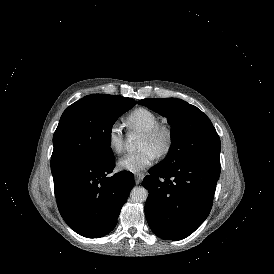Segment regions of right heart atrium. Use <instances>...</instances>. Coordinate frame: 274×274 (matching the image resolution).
<instances>
[{
    "mask_svg": "<svg viewBox=\"0 0 274 274\" xmlns=\"http://www.w3.org/2000/svg\"><path fill=\"white\" fill-rule=\"evenodd\" d=\"M107 143L108 147L114 152L122 150L124 141L121 128L117 123H113L109 126L107 130Z\"/></svg>",
    "mask_w": 274,
    "mask_h": 274,
    "instance_id": "obj_1",
    "label": "right heart atrium"
}]
</instances>
